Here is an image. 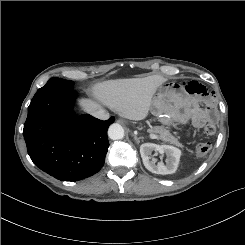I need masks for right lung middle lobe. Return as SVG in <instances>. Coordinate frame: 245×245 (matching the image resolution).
<instances>
[{
	"label": "right lung middle lobe",
	"instance_id": "right-lung-middle-lobe-1",
	"mask_svg": "<svg viewBox=\"0 0 245 245\" xmlns=\"http://www.w3.org/2000/svg\"><path fill=\"white\" fill-rule=\"evenodd\" d=\"M58 81H62V82H67V83L74 84L73 81L63 80V79H61V78H51L47 83L58 82Z\"/></svg>",
	"mask_w": 245,
	"mask_h": 245
}]
</instances>
